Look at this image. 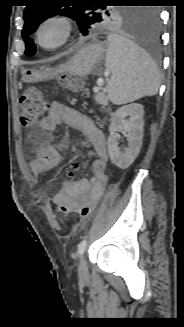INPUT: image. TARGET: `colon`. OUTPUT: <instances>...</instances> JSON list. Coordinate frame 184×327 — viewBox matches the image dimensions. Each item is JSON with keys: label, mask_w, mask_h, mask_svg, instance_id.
Returning <instances> with one entry per match:
<instances>
[{"label": "colon", "mask_w": 184, "mask_h": 327, "mask_svg": "<svg viewBox=\"0 0 184 327\" xmlns=\"http://www.w3.org/2000/svg\"><path fill=\"white\" fill-rule=\"evenodd\" d=\"M61 84L71 92H82L85 90L82 80L76 77L62 76ZM20 120L24 126H29L38 121L47 109V100L43 93L35 88L26 89L20 97ZM59 212L75 213L80 217H89L95 211V204L87 203L78 209L72 210L67 204H55Z\"/></svg>", "instance_id": "1"}]
</instances>
